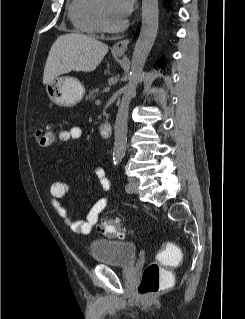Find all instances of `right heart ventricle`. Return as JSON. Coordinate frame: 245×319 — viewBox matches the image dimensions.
<instances>
[{"instance_id": "e07e8e85", "label": "right heart ventricle", "mask_w": 245, "mask_h": 319, "mask_svg": "<svg viewBox=\"0 0 245 319\" xmlns=\"http://www.w3.org/2000/svg\"><path fill=\"white\" fill-rule=\"evenodd\" d=\"M100 0H71L68 7L69 18L74 27L89 35L101 33L98 15Z\"/></svg>"}]
</instances>
